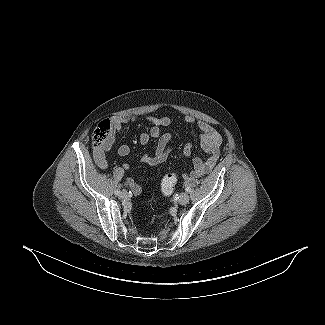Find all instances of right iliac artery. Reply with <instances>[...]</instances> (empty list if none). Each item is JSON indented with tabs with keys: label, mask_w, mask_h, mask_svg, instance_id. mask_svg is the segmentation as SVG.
I'll use <instances>...</instances> for the list:
<instances>
[{
	"label": "right iliac artery",
	"mask_w": 325,
	"mask_h": 325,
	"mask_svg": "<svg viewBox=\"0 0 325 325\" xmlns=\"http://www.w3.org/2000/svg\"><path fill=\"white\" fill-rule=\"evenodd\" d=\"M114 194H115V195H119V194H120V190H118V189L115 190V191H114Z\"/></svg>",
	"instance_id": "right-iliac-artery-1"
}]
</instances>
